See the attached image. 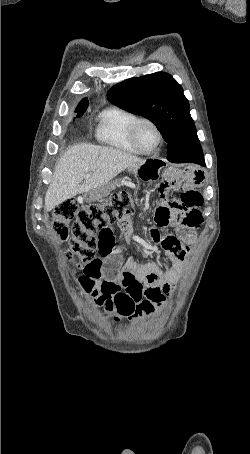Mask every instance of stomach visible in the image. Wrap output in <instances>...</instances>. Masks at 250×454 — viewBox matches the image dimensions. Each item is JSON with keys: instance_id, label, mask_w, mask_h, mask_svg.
I'll return each mask as SVG.
<instances>
[{"instance_id": "1", "label": "stomach", "mask_w": 250, "mask_h": 454, "mask_svg": "<svg viewBox=\"0 0 250 454\" xmlns=\"http://www.w3.org/2000/svg\"><path fill=\"white\" fill-rule=\"evenodd\" d=\"M128 169L129 172L134 174L136 177L142 180L151 181L152 179L159 177L161 166H159V162H157V160H145L142 164L131 166ZM108 193V189H101L98 191L96 190L95 192L91 193L90 199H99L103 196H106Z\"/></svg>"}]
</instances>
